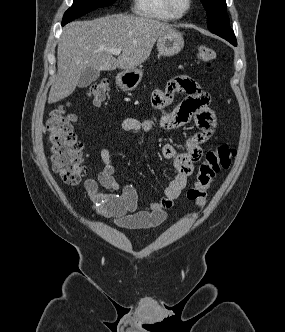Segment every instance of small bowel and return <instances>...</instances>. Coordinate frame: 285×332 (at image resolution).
<instances>
[{
  "instance_id": "c3829d8e",
  "label": "small bowel",
  "mask_w": 285,
  "mask_h": 332,
  "mask_svg": "<svg viewBox=\"0 0 285 332\" xmlns=\"http://www.w3.org/2000/svg\"><path fill=\"white\" fill-rule=\"evenodd\" d=\"M174 93H187L188 96L177 106V100H173ZM209 102V94L188 75L174 77L165 90H156L152 95L155 108L176 107L164 117L165 127L178 128L194 121L199 128V132L187 139L184 151H178L172 144L163 145L162 156L173 161L175 170L166 184L164 196L159 201L142 205L132 185L124 186L119 193L121 188L114 177L115 158L107 148H103L100 153L103 167L97 178L84 182L90 208L99 215L112 218L120 227L150 228L162 224L174 200L186 188L188 178L194 171V164L202 158V145L211 138L216 128V115L209 107ZM151 125L150 120L141 121L128 117L122 121L121 130L135 135L149 130ZM100 186L111 192L100 191Z\"/></svg>"
}]
</instances>
